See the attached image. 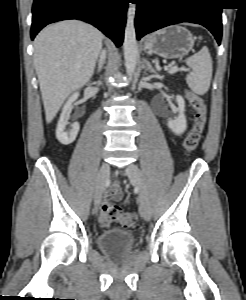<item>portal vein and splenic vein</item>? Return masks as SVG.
I'll return each instance as SVG.
<instances>
[{
	"label": "portal vein and splenic vein",
	"instance_id": "portal-vein-and-splenic-vein-1",
	"mask_svg": "<svg viewBox=\"0 0 246 300\" xmlns=\"http://www.w3.org/2000/svg\"><path fill=\"white\" fill-rule=\"evenodd\" d=\"M178 71H188L187 69H184V68H178L177 66H174L172 67L170 70H169V73L170 74H174Z\"/></svg>",
	"mask_w": 246,
	"mask_h": 300
}]
</instances>
